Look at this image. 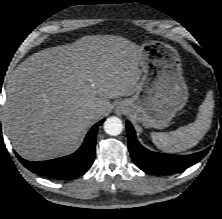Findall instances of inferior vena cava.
I'll return each mask as SVG.
<instances>
[{"label":"inferior vena cava","mask_w":222,"mask_h":219,"mask_svg":"<svg viewBox=\"0 0 222 219\" xmlns=\"http://www.w3.org/2000/svg\"><path fill=\"white\" fill-rule=\"evenodd\" d=\"M99 111H100L99 109H94L91 113L95 114V113H98Z\"/></svg>","instance_id":"1"}]
</instances>
